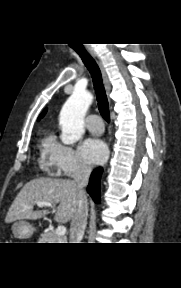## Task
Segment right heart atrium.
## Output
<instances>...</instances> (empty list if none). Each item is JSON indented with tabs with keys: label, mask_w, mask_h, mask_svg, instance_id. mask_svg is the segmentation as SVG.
<instances>
[{
	"label": "right heart atrium",
	"mask_w": 181,
	"mask_h": 288,
	"mask_svg": "<svg viewBox=\"0 0 181 288\" xmlns=\"http://www.w3.org/2000/svg\"><path fill=\"white\" fill-rule=\"evenodd\" d=\"M49 163L58 175L66 177L90 171V165L71 146L58 142L50 147Z\"/></svg>",
	"instance_id": "1"
}]
</instances>
